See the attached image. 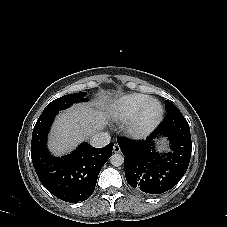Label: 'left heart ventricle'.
Wrapping results in <instances>:
<instances>
[{
    "label": "left heart ventricle",
    "mask_w": 227,
    "mask_h": 227,
    "mask_svg": "<svg viewBox=\"0 0 227 227\" xmlns=\"http://www.w3.org/2000/svg\"><path fill=\"white\" fill-rule=\"evenodd\" d=\"M160 107L157 103H152L148 106L146 111V118L151 119L158 115Z\"/></svg>",
    "instance_id": "left-heart-ventricle-1"
}]
</instances>
